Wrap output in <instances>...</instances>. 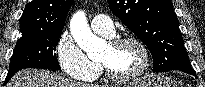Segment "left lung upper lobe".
I'll return each mask as SVG.
<instances>
[{"label": "left lung upper lobe", "instance_id": "left-lung-upper-lobe-1", "mask_svg": "<svg viewBox=\"0 0 205 87\" xmlns=\"http://www.w3.org/2000/svg\"><path fill=\"white\" fill-rule=\"evenodd\" d=\"M111 11L148 47L153 71L191 67L171 0H108Z\"/></svg>", "mask_w": 205, "mask_h": 87}]
</instances>
